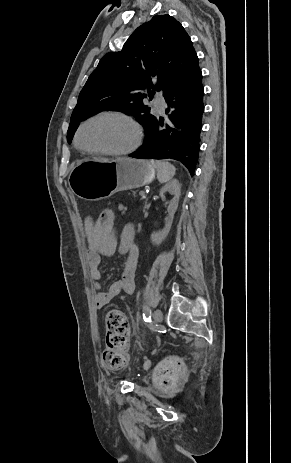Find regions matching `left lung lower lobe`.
<instances>
[{"mask_svg":"<svg viewBox=\"0 0 291 463\" xmlns=\"http://www.w3.org/2000/svg\"><path fill=\"white\" fill-rule=\"evenodd\" d=\"M203 96L202 72L198 67L164 96L167 117L151 121L143 145L130 157L174 159L193 175L200 150Z\"/></svg>","mask_w":291,"mask_h":463,"instance_id":"obj_1","label":"left lung lower lobe"}]
</instances>
